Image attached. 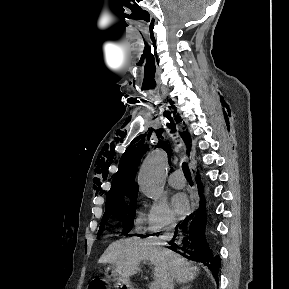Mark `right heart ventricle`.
Listing matches in <instances>:
<instances>
[{
  "label": "right heart ventricle",
  "mask_w": 289,
  "mask_h": 289,
  "mask_svg": "<svg viewBox=\"0 0 289 289\" xmlns=\"http://www.w3.org/2000/svg\"><path fill=\"white\" fill-rule=\"evenodd\" d=\"M145 224V215L142 211H137L135 225L137 230L142 231Z\"/></svg>",
  "instance_id": "obj_1"
}]
</instances>
